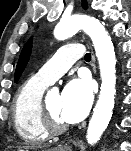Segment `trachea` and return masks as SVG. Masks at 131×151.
Masks as SVG:
<instances>
[{"label":"trachea","instance_id":"1","mask_svg":"<svg viewBox=\"0 0 131 151\" xmlns=\"http://www.w3.org/2000/svg\"><path fill=\"white\" fill-rule=\"evenodd\" d=\"M85 61L89 62L91 60V54L90 53H86L84 56Z\"/></svg>","mask_w":131,"mask_h":151}]
</instances>
